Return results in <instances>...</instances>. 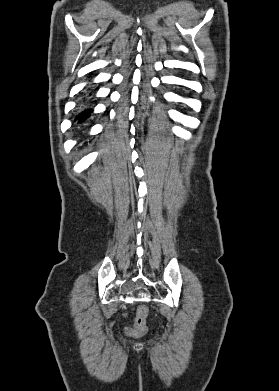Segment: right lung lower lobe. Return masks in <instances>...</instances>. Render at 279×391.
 Returning a JSON list of instances; mask_svg holds the SVG:
<instances>
[{"mask_svg":"<svg viewBox=\"0 0 279 391\" xmlns=\"http://www.w3.org/2000/svg\"><path fill=\"white\" fill-rule=\"evenodd\" d=\"M92 112V109H86L84 111H82L80 114H78L76 116V119L78 121V123H82L83 121H85L89 116H90V113Z\"/></svg>","mask_w":279,"mask_h":391,"instance_id":"obj_1","label":"right lung lower lobe"}]
</instances>
